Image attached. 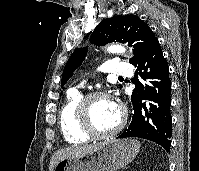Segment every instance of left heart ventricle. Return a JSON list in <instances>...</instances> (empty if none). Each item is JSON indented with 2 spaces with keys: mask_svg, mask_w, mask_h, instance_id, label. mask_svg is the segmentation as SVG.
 I'll list each match as a JSON object with an SVG mask.
<instances>
[{
  "mask_svg": "<svg viewBox=\"0 0 199 171\" xmlns=\"http://www.w3.org/2000/svg\"><path fill=\"white\" fill-rule=\"evenodd\" d=\"M91 116L97 130L108 131L118 123L120 109L113 107L109 98H99L91 104Z\"/></svg>",
  "mask_w": 199,
  "mask_h": 171,
  "instance_id": "1",
  "label": "left heart ventricle"
}]
</instances>
